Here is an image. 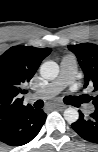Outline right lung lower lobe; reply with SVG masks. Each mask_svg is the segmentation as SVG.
I'll return each instance as SVG.
<instances>
[{
  "instance_id": "1",
  "label": "right lung lower lobe",
  "mask_w": 98,
  "mask_h": 152,
  "mask_svg": "<svg viewBox=\"0 0 98 152\" xmlns=\"http://www.w3.org/2000/svg\"><path fill=\"white\" fill-rule=\"evenodd\" d=\"M46 117L43 110L29 108L0 130V141L10 146H20L30 142L41 130Z\"/></svg>"
}]
</instances>
